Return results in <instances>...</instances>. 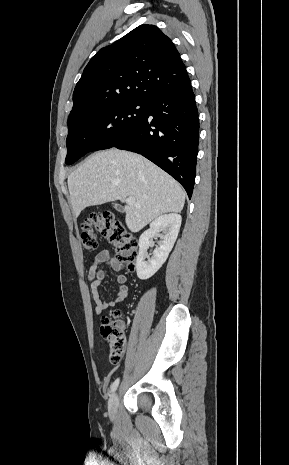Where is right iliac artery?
<instances>
[{"instance_id": "82829eb1", "label": "right iliac artery", "mask_w": 289, "mask_h": 465, "mask_svg": "<svg viewBox=\"0 0 289 465\" xmlns=\"http://www.w3.org/2000/svg\"><path fill=\"white\" fill-rule=\"evenodd\" d=\"M119 384V378H117L110 386V393H113Z\"/></svg>"}]
</instances>
